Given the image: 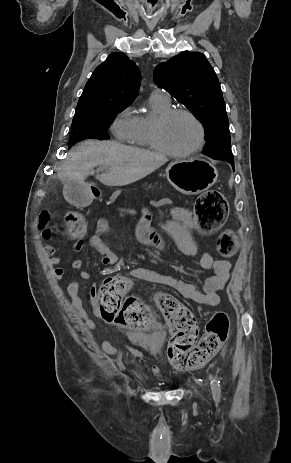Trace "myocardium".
Returning <instances> with one entry per match:
<instances>
[{"instance_id":"1","label":"myocardium","mask_w":291,"mask_h":463,"mask_svg":"<svg viewBox=\"0 0 291 463\" xmlns=\"http://www.w3.org/2000/svg\"><path fill=\"white\" fill-rule=\"evenodd\" d=\"M179 115H184V116H187L189 117L191 120L194 121V123L197 125L198 129H199V140L197 142V144L195 146H193L192 148L186 150V151H182V152H178V151H175L173 149H171L169 146H167L163 139H162V128L163 126L168 122L170 121L171 119H173L174 117L176 116H179ZM205 139H206V131H205V127L203 125V123L201 122V120L191 111L187 110V109H182V108H172V109H169L163 113H161L160 115H158L154 121L152 122V125H151V141H152V144L154 146V148L156 150H158L159 152L165 154V155H168L170 157H175V158H185V157H189L197 152H199L204 144H205Z\"/></svg>"}]
</instances>
